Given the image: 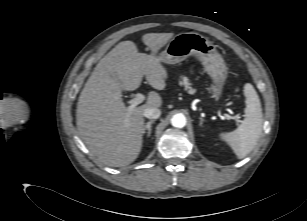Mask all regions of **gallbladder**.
I'll list each match as a JSON object with an SVG mask.
<instances>
[{"instance_id":"gallbladder-1","label":"gallbladder","mask_w":307,"mask_h":221,"mask_svg":"<svg viewBox=\"0 0 307 221\" xmlns=\"http://www.w3.org/2000/svg\"><path fill=\"white\" fill-rule=\"evenodd\" d=\"M115 80H118L119 81V77L117 75H113L112 76Z\"/></svg>"}]
</instances>
